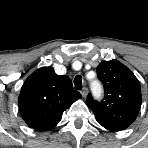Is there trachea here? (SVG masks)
<instances>
[{
	"instance_id": "trachea-1",
	"label": "trachea",
	"mask_w": 148,
	"mask_h": 148,
	"mask_svg": "<svg viewBox=\"0 0 148 148\" xmlns=\"http://www.w3.org/2000/svg\"><path fill=\"white\" fill-rule=\"evenodd\" d=\"M74 86L76 90H82V77L80 75L74 78Z\"/></svg>"
}]
</instances>
